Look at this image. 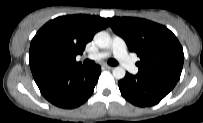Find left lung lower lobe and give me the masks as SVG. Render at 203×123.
I'll list each match as a JSON object with an SVG mask.
<instances>
[{
  "mask_svg": "<svg viewBox=\"0 0 203 123\" xmlns=\"http://www.w3.org/2000/svg\"><path fill=\"white\" fill-rule=\"evenodd\" d=\"M176 83L177 81L164 76L126 73L118 86L126 100L136 106L146 107L160 102Z\"/></svg>",
  "mask_w": 203,
  "mask_h": 123,
  "instance_id": "left-lung-lower-lobe-1",
  "label": "left lung lower lobe"
}]
</instances>
